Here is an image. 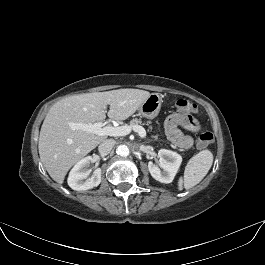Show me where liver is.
<instances>
[{
  "label": "liver",
  "mask_w": 265,
  "mask_h": 265,
  "mask_svg": "<svg viewBox=\"0 0 265 265\" xmlns=\"http://www.w3.org/2000/svg\"><path fill=\"white\" fill-rule=\"evenodd\" d=\"M150 96L139 89H118L106 92L85 93L64 98L47 113L39 136L40 159L51 178L62 184L69 169L100 143L106 136H98L80 129L73 123L93 124L108 117L125 120L132 116Z\"/></svg>",
  "instance_id": "1"
}]
</instances>
